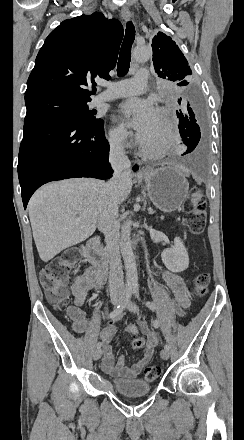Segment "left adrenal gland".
<instances>
[{"label": "left adrenal gland", "instance_id": "obj_1", "mask_svg": "<svg viewBox=\"0 0 244 440\" xmlns=\"http://www.w3.org/2000/svg\"><path fill=\"white\" fill-rule=\"evenodd\" d=\"M149 214H152L151 210H149Z\"/></svg>", "mask_w": 244, "mask_h": 440}]
</instances>
